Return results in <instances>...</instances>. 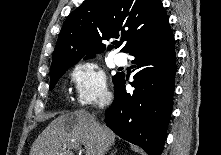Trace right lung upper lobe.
Instances as JSON below:
<instances>
[{
    "label": "right lung upper lobe",
    "mask_w": 221,
    "mask_h": 155,
    "mask_svg": "<svg viewBox=\"0 0 221 155\" xmlns=\"http://www.w3.org/2000/svg\"><path fill=\"white\" fill-rule=\"evenodd\" d=\"M167 23L160 0H85L63 24L51 70L75 64L85 55L95 57L110 39L121 38L116 47L122 45L121 51L129 53L144 35Z\"/></svg>",
    "instance_id": "obj_1"
}]
</instances>
